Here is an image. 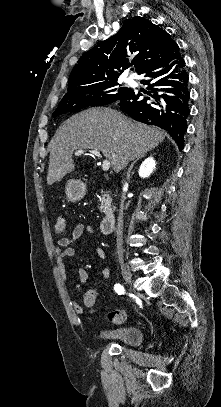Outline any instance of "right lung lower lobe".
<instances>
[{
    "label": "right lung lower lobe",
    "mask_w": 221,
    "mask_h": 407,
    "mask_svg": "<svg viewBox=\"0 0 221 407\" xmlns=\"http://www.w3.org/2000/svg\"><path fill=\"white\" fill-rule=\"evenodd\" d=\"M148 79L146 95L131 89L115 101L134 120L165 129L176 141L179 149L184 147L189 109L188 74L185 62L175 43L167 54L149 65L143 72Z\"/></svg>",
    "instance_id": "obj_1"
}]
</instances>
